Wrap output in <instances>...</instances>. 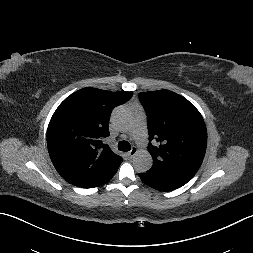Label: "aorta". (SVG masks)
<instances>
[{
    "label": "aorta",
    "mask_w": 253,
    "mask_h": 253,
    "mask_svg": "<svg viewBox=\"0 0 253 253\" xmlns=\"http://www.w3.org/2000/svg\"><path fill=\"white\" fill-rule=\"evenodd\" d=\"M113 122L121 128H125L132 123V115L129 110L117 108L112 115ZM153 164L151 155L148 152H141L135 155L133 159L134 169L139 173L148 171Z\"/></svg>",
    "instance_id": "762f6f07"
}]
</instances>
